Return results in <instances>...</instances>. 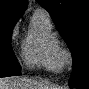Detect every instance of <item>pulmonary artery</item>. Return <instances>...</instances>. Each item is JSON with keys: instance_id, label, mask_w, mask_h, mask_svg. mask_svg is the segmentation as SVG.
Listing matches in <instances>:
<instances>
[{"instance_id": "pulmonary-artery-1", "label": "pulmonary artery", "mask_w": 89, "mask_h": 89, "mask_svg": "<svg viewBox=\"0 0 89 89\" xmlns=\"http://www.w3.org/2000/svg\"><path fill=\"white\" fill-rule=\"evenodd\" d=\"M38 11L46 12V11H44V10H38ZM46 13H47V12H46Z\"/></svg>"}]
</instances>
